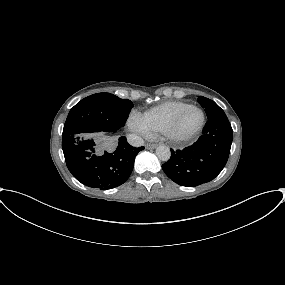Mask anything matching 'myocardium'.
Instances as JSON below:
<instances>
[{
  "label": "myocardium",
  "instance_id": "myocardium-1",
  "mask_svg": "<svg viewBox=\"0 0 285 285\" xmlns=\"http://www.w3.org/2000/svg\"><path fill=\"white\" fill-rule=\"evenodd\" d=\"M192 109L199 111V113L201 115L200 124L198 125V127L195 130H193L189 133L181 134L178 132V128H179L181 122L183 121L186 113ZM204 122H205V114H204L203 110L197 106L190 105L187 108L183 109L175 117V119L165 128L163 134L171 142H174V143L185 142V141L193 138L195 135H197L202 130V128L204 126Z\"/></svg>",
  "mask_w": 285,
  "mask_h": 285
}]
</instances>
